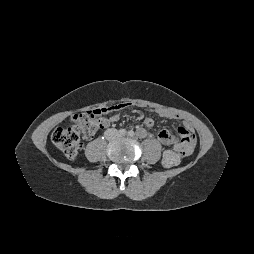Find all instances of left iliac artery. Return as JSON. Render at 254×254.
<instances>
[{
    "label": "left iliac artery",
    "instance_id": "obj_1",
    "mask_svg": "<svg viewBox=\"0 0 254 254\" xmlns=\"http://www.w3.org/2000/svg\"><path fill=\"white\" fill-rule=\"evenodd\" d=\"M134 135H135L134 131L130 130V131L128 132V136L133 137Z\"/></svg>",
    "mask_w": 254,
    "mask_h": 254
}]
</instances>
